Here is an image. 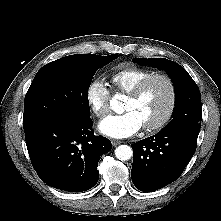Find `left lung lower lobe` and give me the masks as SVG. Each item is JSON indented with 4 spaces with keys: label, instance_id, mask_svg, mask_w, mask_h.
Listing matches in <instances>:
<instances>
[{
    "label": "left lung lower lobe",
    "instance_id": "0a47b994",
    "mask_svg": "<svg viewBox=\"0 0 221 221\" xmlns=\"http://www.w3.org/2000/svg\"><path fill=\"white\" fill-rule=\"evenodd\" d=\"M199 131L196 125L163 128L132 144L131 177L136 188L155 191L178 179L195 153Z\"/></svg>",
    "mask_w": 221,
    "mask_h": 221
}]
</instances>
